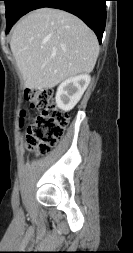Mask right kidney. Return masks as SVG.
<instances>
[{"mask_svg": "<svg viewBox=\"0 0 133 253\" xmlns=\"http://www.w3.org/2000/svg\"><path fill=\"white\" fill-rule=\"evenodd\" d=\"M91 81L89 75H79L62 82L56 93V104L61 110L67 112L81 99L83 93Z\"/></svg>", "mask_w": 133, "mask_h": 253, "instance_id": "ca27d5eb", "label": "right kidney"}]
</instances>
